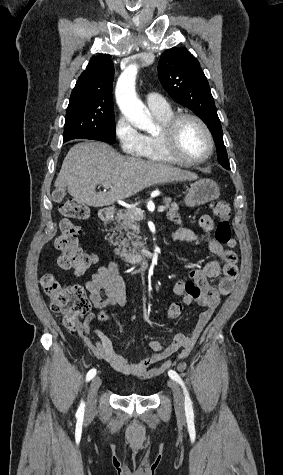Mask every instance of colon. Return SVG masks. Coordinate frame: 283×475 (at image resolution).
I'll list each match as a JSON object with an SVG mask.
<instances>
[{
    "instance_id": "colon-1",
    "label": "colon",
    "mask_w": 283,
    "mask_h": 475,
    "mask_svg": "<svg viewBox=\"0 0 283 475\" xmlns=\"http://www.w3.org/2000/svg\"><path fill=\"white\" fill-rule=\"evenodd\" d=\"M211 210L217 218L213 231L215 239L226 244L231 239L230 217L231 208L224 199L215 200L211 203ZM64 216L61 228L62 232L56 239V248L60 251L58 263L64 270H71L76 276H83L94 263L93 256L86 253L78 244L81 229L72 222L73 219L85 220L89 216V207L79 201L68 199L60 207ZM41 285L50 299L53 312L62 319L66 331L77 332L82 325V317L87 315L90 309L84 288L78 284L65 285L52 274L41 276ZM187 296L181 303H173L169 306L167 316L175 320L181 313L182 308H187L200 294V289L193 286L191 280L184 282Z\"/></svg>"
}]
</instances>
